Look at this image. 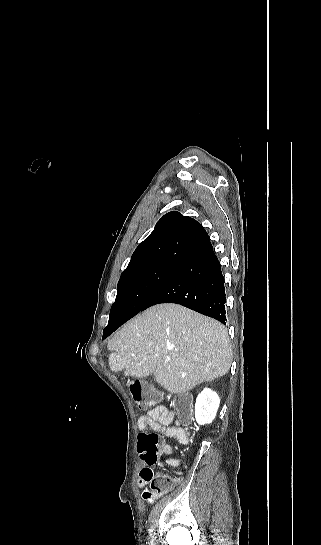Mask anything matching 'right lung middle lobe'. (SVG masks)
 Masks as SVG:
<instances>
[{
  "mask_svg": "<svg viewBox=\"0 0 321 545\" xmlns=\"http://www.w3.org/2000/svg\"><path fill=\"white\" fill-rule=\"evenodd\" d=\"M177 268L170 265H152L122 273L109 323L128 320L139 313Z\"/></svg>",
  "mask_w": 321,
  "mask_h": 545,
  "instance_id": "dd1d6c3e",
  "label": "right lung middle lobe"
}]
</instances>
